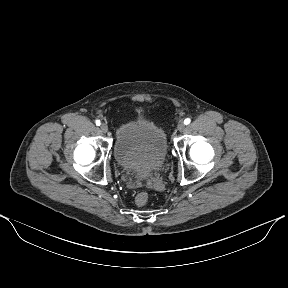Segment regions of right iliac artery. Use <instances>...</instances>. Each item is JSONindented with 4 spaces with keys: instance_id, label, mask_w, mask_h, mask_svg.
<instances>
[{
    "instance_id": "obj_1",
    "label": "right iliac artery",
    "mask_w": 288,
    "mask_h": 288,
    "mask_svg": "<svg viewBox=\"0 0 288 288\" xmlns=\"http://www.w3.org/2000/svg\"><path fill=\"white\" fill-rule=\"evenodd\" d=\"M95 124H96L97 126H100L101 121H100V120H96V121H95Z\"/></svg>"
}]
</instances>
